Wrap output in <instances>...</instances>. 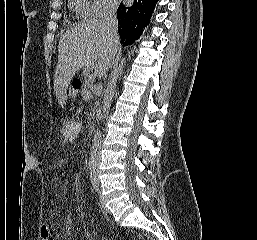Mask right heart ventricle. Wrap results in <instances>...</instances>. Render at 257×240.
I'll list each match as a JSON object with an SVG mask.
<instances>
[{
	"label": "right heart ventricle",
	"mask_w": 257,
	"mask_h": 240,
	"mask_svg": "<svg viewBox=\"0 0 257 240\" xmlns=\"http://www.w3.org/2000/svg\"><path fill=\"white\" fill-rule=\"evenodd\" d=\"M71 6L78 15L85 17L88 16L90 2L88 0H71Z\"/></svg>",
	"instance_id": "obj_1"
}]
</instances>
